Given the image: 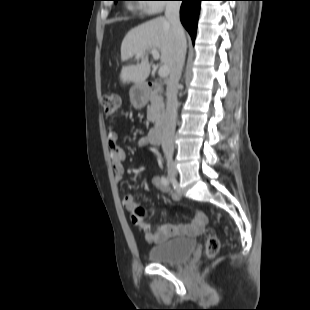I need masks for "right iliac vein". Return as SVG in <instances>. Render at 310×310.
Wrapping results in <instances>:
<instances>
[{
    "label": "right iliac vein",
    "mask_w": 310,
    "mask_h": 310,
    "mask_svg": "<svg viewBox=\"0 0 310 310\" xmlns=\"http://www.w3.org/2000/svg\"><path fill=\"white\" fill-rule=\"evenodd\" d=\"M166 166H167L169 177L172 179H175L178 173L175 162L171 158H168L166 160Z\"/></svg>",
    "instance_id": "obj_1"
}]
</instances>
